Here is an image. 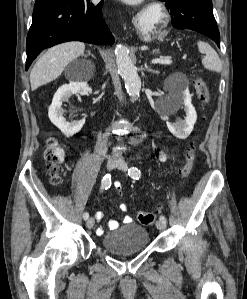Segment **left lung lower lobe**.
I'll use <instances>...</instances> for the list:
<instances>
[{
	"mask_svg": "<svg viewBox=\"0 0 247 299\" xmlns=\"http://www.w3.org/2000/svg\"><path fill=\"white\" fill-rule=\"evenodd\" d=\"M173 27L191 29L211 38L220 47V34L215 21L212 0H164Z\"/></svg>",
	"mask_w": 247,
	"mask_h": 299,
	"instance_id": "left-lung-lower-lobe-1",
	"label": "left lung lower lobe"
}]
</instances>
